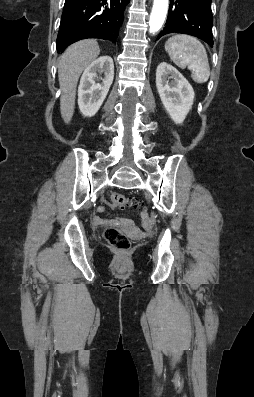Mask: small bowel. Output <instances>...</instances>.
Returning <instances> with one entry per match:
<instances>
[{"label":"small bowel","mask_w":254,"mask_h":397,"mask_svg":"<svg viewBox=\"0 0 254 397\" xmlns=\"http://www.w3.org/2000/svg\"><path fill=\"white\" fill-rule=\"evenodd\" d=\"M105 203L107 205H109L108 202H105ZM104 210H105V207L103 205L97 206L95 208L96 212H103ZM91 223H92V225H94L96 227L108 226V225H118V224L127 225V226L130 225V222L123 220V219L107 220V219H102V218L96 217V216L91 217ZM143 226L146 230L150 229V222L147 218H144Z\"/></svg>","instance_id":"c3829d8e"}]
</instances>
